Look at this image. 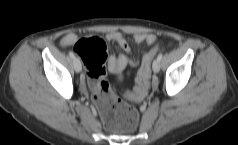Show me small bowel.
I'll use <instances>...</instances> for the list:
<instances>
[{"label":"small bowel","instance_id":"1","mask_svg":"<svg viewBox=\"0 0 238 145\" xmlns=\"http://www.w3.org/2000/svg\"><path fill=\"white\" fill-rule=\"evenodd\" d=\"M78 36L74 33L65 35L61 40L62 46H73V42ZM106 38L109 41L116 42L126 53H131V48L121 32L110 31L106 34ZM133 39L138 44L145 43L148 46H154L156 44L155 35L149 33L136 32L133 34ZM128 65L134 66L136 65V61L129 60L125 55H119L118 57L111 56L108 59V66L112 72H119Z\"/></svg>","mask_w":238,"mask_h":145}]
</instances>
